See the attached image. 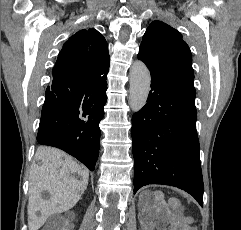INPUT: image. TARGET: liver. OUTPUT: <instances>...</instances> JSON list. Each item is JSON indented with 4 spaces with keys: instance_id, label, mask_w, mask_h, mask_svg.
I'll list each match as a JSON object with an SVG mask.
<instances>
[{
    "instance_id": "6515ba94",
    "label": "liver",
    "mask_w": 241,
    "mask_h": 230,
    "mask_svg": "<svg viewBox=\"0 0 241 230\" xmlns=\"http://www.w3.org/2000/svg\"><path fill=\"white\" fill-rule=\"evenodd\" d=\"M31 171L28 218L29 230H38L53 213L70 210L87 188L89 172L59 149L39 147ZM80 175V180L73 176ZM42 189L51 193L50 200L40 196Z\"/></svg>"
}]
</instances>
